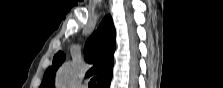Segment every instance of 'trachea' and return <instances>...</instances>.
Here are the masks:
<instances>
[{"label":"trachea","instance_id":"obj_1","mask_svg":"<svg viewBox=\"0 0 223 88\" xmlns=\"http://www.w3.org/2000/svg\"><path fill=\"white\" fill-rule=\"evenodd\" d=\"M96 85V78L93 77L89 82V88H95Z\"/></svg>","mask_w":223,"mask_h":88}]
</instances>
